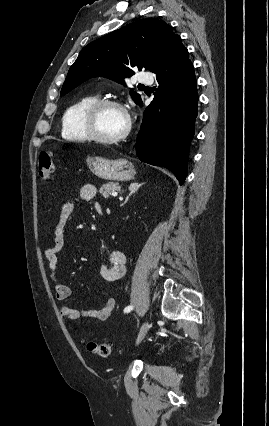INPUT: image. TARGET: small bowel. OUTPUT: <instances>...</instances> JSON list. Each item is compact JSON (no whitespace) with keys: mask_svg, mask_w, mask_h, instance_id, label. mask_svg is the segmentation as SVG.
I'll use <instances>...</instances> for the list:
<instances>
[{"mask_svg":"<svg viewBox=\"0 0 269 426\" xmlns=\"http://www.w3.org/2000/svg\"><path fill=\"white\" fill-rule=\"evenodd\" d=\"M97 195V187L93 184L83 185L77 196L65 202L59 211L56 224L53 228V244L48 247L44 256L49 270V280L53 285L56 301L60 304V314L68 321H75L82 318H90L97 321L106 320L116 306V300L109 298L104 304L95 310L75 309L65 304L70 296L68 286L61 283L57 277L58 255L65 249L64 226L67 219L74 210L78 202L92 200ZM126 272V256L121 250L111 251L107 255V263L101 267V276L106 281H118L122 279Z\"/></svg>","mask_w":269,"mask_h":426,"instance_id":"obj_1","label":"small bowel"}]
</instances>
